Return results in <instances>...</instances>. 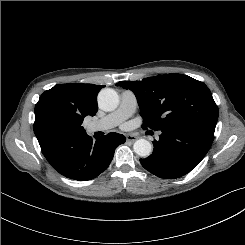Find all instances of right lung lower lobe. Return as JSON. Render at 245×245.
I'll use <instances>...</instances> for the list:
<instances>
[{
  "mask_svg": "<svg viewBox=\"0 0 245 245\" xmlns=\"http://www.w3.org/2000/svg\"><path fill=\"white\" fill-rule=\"evenodd\" d=\"M95 139L87 135L66 140L59 147L57 158L50 164L70 179L85 181L97 177L107 169L115 148L123 144L126 138L111 132Z\"/></svg>",
  "mask_w": 245,
  "mask_h": 245,
  "instance_id": "98d812e1",
  "label": "right lung lower lobe"
}]
</instances>
